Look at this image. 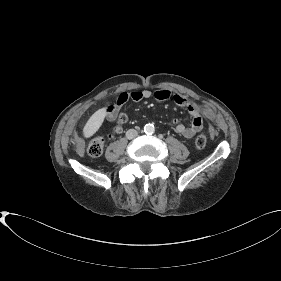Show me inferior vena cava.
<instances>
[{"label":"inferior vena cava","instance_id":"1","mask_svg":"<svg viewBox=\"0 0 281 281\" xmlns=\"http://www.w3.org/2000/svg\"><path fill=\"white\" fill-rule=\"evenodd\" d=\"M137 135H138V132L135 129H129L126 132V138L127 139H134V138L137 137Z\"/></svg>","mask_w":281,"mask_h":281}]
</instances>
